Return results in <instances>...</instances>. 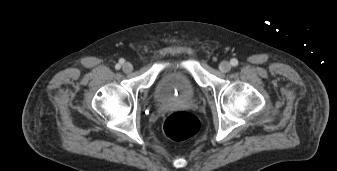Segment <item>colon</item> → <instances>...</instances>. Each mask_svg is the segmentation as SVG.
Here are the masks:
<instances>
[{
    "label": "colon",
    "mask_w": 337,
    "mask_h": 171,
    "mask_svg": "<svg viewBox=\"0 0 337 171\" xmlns=\"http://www.w3.org/2000/svg\"><path fill=\"white\" fill-rule=\"evenodd\" d=\"M162 129L166 137L175 141H182L199 132L200 122L190 112L175 111L164 118Z\"/></svg>",
    "instance_id": "1"
}]
</instances>
